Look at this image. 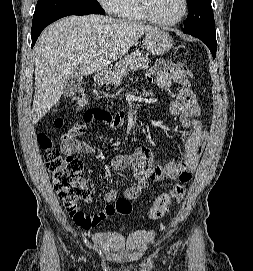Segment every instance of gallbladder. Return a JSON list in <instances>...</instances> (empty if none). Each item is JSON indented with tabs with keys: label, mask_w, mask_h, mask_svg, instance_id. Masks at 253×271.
<instances>
[{
	"label": "gallbladder",
	"mask_w": 253,
	"mask_h": 271,
	"mask_svg": "<svg viewBox=\"0 0 253 271\" xmlns=\"http://www.w3.org/2000/svg\"><path fill=\"white\" fill-rule=\"evenodd\" d=\"M83 77L79 73H75L67 82L63 90L64 97H71L80 90Z\"/></svg>",
	"instance_id": "bac80fb5"
}]
</instances>
